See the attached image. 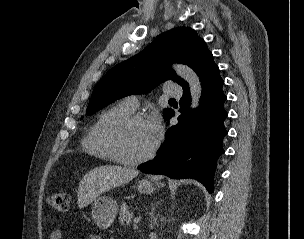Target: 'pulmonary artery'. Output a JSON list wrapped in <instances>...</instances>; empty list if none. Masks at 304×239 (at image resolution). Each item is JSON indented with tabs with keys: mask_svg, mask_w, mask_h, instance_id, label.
Listing matches in <instances>:
<instances>
[{
	"mask_svg": "<svg viewBox=\"0 0 304 239\" xmlns=\"http://www.w3.org/2000/svg\"><path fill=\"white\" fill-rule=\"evenodd\" d=\"M165 93L171 97H180L182 95V89L174 83H169L165 88ZM124 103L133 110L139 105L138 98L134 95L127 96L124 99Z\"/></svg>",
	"mask_w": 304,
	"mask_h": 239,
	"instance_id": "1",
	"label": "pulmonary artery"
}]
</instances>
